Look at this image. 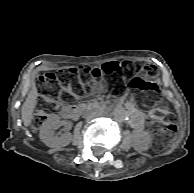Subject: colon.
<instances>
[{
  "mask_svg": "<svg viewBox=\"0 0 194 193\" xmlns=\"http://www.w3.org/2000/svg\"><path fill=\"white\" fill-rule=\"evenodd\" d=\"M80 72L94 78H100L103 75L114 78L116 82L113 84V89L116 91L121 90L118 81L127 77L130 90L136 95L142 107L150 110V117L154 124L155 147L164 149L170 145L177 128L170 117L169 110L158 106L161 100L158 84L148 80L143 74L152 75V70L150 67L129 62H107L94 68H65L58 73L47 72L42 75L39 81L38 111L33 120L35 127L41 126L48 114L56 111L62 103L69 101L72 94L77 93L71 83Z\"/></svg>",
  "mask_w": 194,
  "mask_h": 193,
  "instance_id": "obj_1",
  "label": "colon"
}]
</instances>
